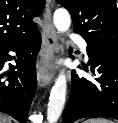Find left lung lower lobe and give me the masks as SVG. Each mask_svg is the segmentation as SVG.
<instances>
[{
    "label": "left lung lower lobe",
    "mask_w": 118,
    "mask_h": 123,
    "mask_svg": "<svg viewBox=\"0 0 118 123\" xmlns=\"http://www.w3.org/2000/svg\"><path fill=\"white\" fill-rule=\"evenodd\" d=\"M87 54L95 82L72 72L71 92L62 123L91 116L118 119V53L87 45Z\"/></svg>",
    "instance_id": "1"
}]
</instances>
